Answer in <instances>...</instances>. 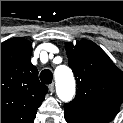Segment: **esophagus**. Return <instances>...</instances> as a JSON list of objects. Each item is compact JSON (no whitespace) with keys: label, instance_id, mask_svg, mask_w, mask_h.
Masks as SVG:
<instances>
[{"label":"esophagus","instance_id":"esophagus-1","mask_svg":"<svg viewBox=\"0 0 123 123\" xmlns=\"http://www.w3.org/2000/svg\"><path fill=\"white\" fill-rule=\"evenodd\" d=\"M48 89H49V91H50L51 93H53L54 90H55V85H54V83H51V84L48 86Z\"/></svg>","mask_w":123,"mask_h":123}]
</instances>
